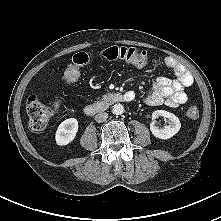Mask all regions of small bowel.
<instances>
[{"instance_id":"obj_1","label":"small bowel","mask_w":221,"mask_h":221,"mask_svg":"<svg viewBox=\"0 0 221 221\" xmlns=\"http://www.w3.org/2000/svg\"><path fill=\"white\" fill-rule=\"evenodd\" d=\"M165 65L173 72L175 78H158L146 94L145 102L148 105L166 104L177 107L187 102L185 89L192 85L193 78L187 69L172 57L165 58Z\"/></svg>"}]
</instances>
